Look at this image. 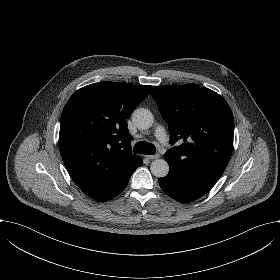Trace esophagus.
<instances>
[{"label": "esophagus", "mask_w": 280, "mask_h": 280, "mask_svg": "<svg viewBox=\"0 0 280 280\" xmlns=\"http://www.w3.org/2000/svg\"><path fill=\"white\" fill-rule=\"evenodd\" d=\"M145 158H147L149 160H156V159L160 158V155L159 154L146 155Z\"/></svg>", "instance_id": "esophagus-1"}]
</instances>
